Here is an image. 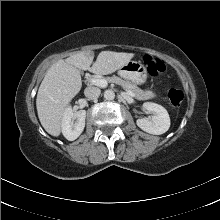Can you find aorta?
<instances>
[{
  "label": "aorta",
  "instance_id": "762f6f07",
  "mask_svg": "<svg viewBox=\"0 0 220 220\" xmlns=\"http://www.w3.org/2000/svg\"><path fill=\"white\" fill-rule=\"evenodd\" d=\"M104 98L106 100H113L115 98V93L112 90H106L104 92Z\"/></svg>",
  "mask_w": 220,
  "mask_h": 220
}]
</instances>
